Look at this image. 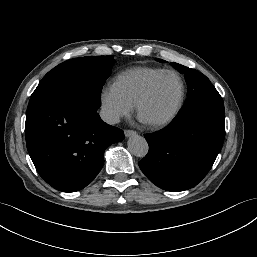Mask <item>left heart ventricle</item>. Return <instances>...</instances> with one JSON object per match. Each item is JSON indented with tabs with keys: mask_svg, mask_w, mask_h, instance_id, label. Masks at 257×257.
Listing matches in <instances>:
<instances>
[{
	"mask_svg": "<svg viewBox=\"0 0 257 257\" xmlns=\"http://www.w3.org/2000/svg\"><path fill=\"white\" fill-rule=\"evenodd\" d=\"M180 90L179 80L174 75H166L161 78L142 106V119L154 122L166 118L175 108Z\"/></svg>",
	"mask_w": 257,
	"mask_h": 257,
	"instance_id": "obj_1",
	"label": "left heart ventricle"
}]
</instances>
